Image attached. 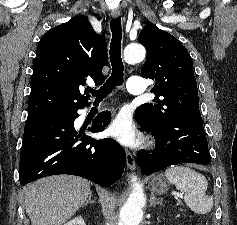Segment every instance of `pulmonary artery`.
I'll use <instances>...</instances> for the list:
<instances>
[{
    "mask_svg": "<svg viewBox=\"0 0 237 225\" xmlns=\"http://www.w3.org/2000/svg\"><path fill=\"white\" fill-rule=\"evenodd\" d=\"M127 90L129 93L134 95L142 94L144 92L142 87V79L139 77H130L128 79Z\"/></svg>",
    "mask_w": 237,
    "mask_h": 225,
    "instance_id": "pulmonary-artery-1",
    "label": "pulmonary artery"
}]
</instances>
